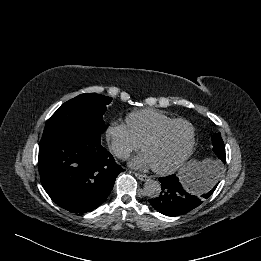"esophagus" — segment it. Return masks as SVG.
I'll list each match as a JSON object with an SVG mask.
<instances>
[{
  "mask_svg": "<svg viewBox=\"0 0 261 261\" xmlns=\"http://www.w3.org/2000/svg\"><path fill=\"white\" fill-rule=\"evenodd\" d=\"M134 175L141 181L149 180V177L147 175L140 174V173H137V172H134Z\"/></svg>",
  "mask_w": 261,
  "mask_h": 261,
  "instance_id": "obj_1",
  "label": "esophagus"
}]
</instances>
